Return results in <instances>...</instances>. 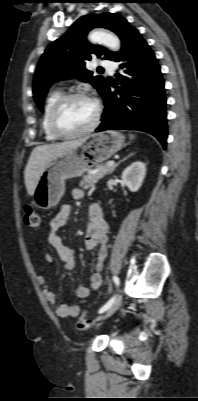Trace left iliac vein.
<instances>
[{
    "mask_svg": "<svg viewBox=\"0 0 198 401\" xmlns=\"http://www.w3.org/2000/svg\"><path fill=\"white\" fill-rule=\"evenodd\" d=\"M121 304H122V295L118 294L116 296L113 304L107 309V311L102 316V319H107L108 317L113 315L118 310V308L121 306Z\"/></svg>",
    "mask_w": 198,
    "mask_h": 401,
    "instance_id": "obj_1",
    "label": "left iliac vein"
}]
</instances>
